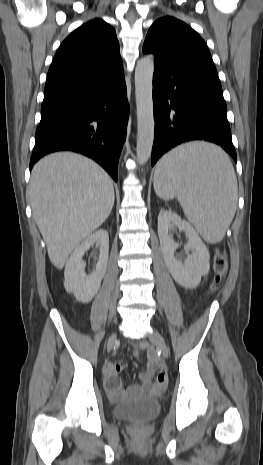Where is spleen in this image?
<instances>
[{
	"instance_id": "1",
	"label": "spleen",
	"mask_w": 263,
	"mask_h": 465,
	"mask_svg": "<svg viewBox=\"0 0 263 465\" xmlns=\"http://www.w3.org/2000/svg\"><path fill=\"white\" fill-rule=\"evenodd\" d=\"M163 200L177 198L187 219L209 243L220 242L232 222L238 186L228 155L215 145L194 142L164 155L154 173Z\"/></svg>"
}]
</instances>
